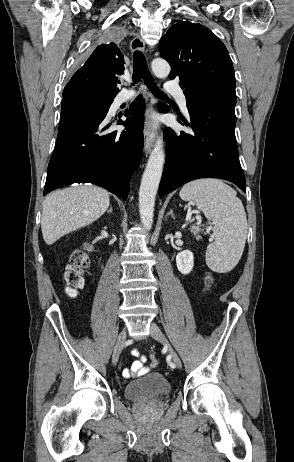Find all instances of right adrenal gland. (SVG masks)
I'll list each match as a JSON object with an SVG mask.
<instances>
[{
	"mask_svg": "<svg viewBox=\"0 0 294 462\" xmlns=\"http://www.w3.org/2000/svg\"><path fill=\"white\" fill-rule=\"evenodd\" d=\"M107 213H112V207L107 211Z\"/></svg>",
	"mask_w": 294,
	"mask_h": 462,
	"instance_id": "1",
	"label": "right adrenal gland"
}]
</instances>
